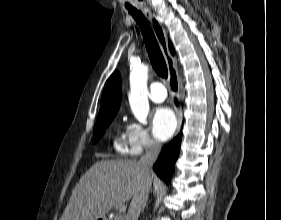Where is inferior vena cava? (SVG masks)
Instances as JSON below:
<instances>
[{
    "label": "inferior vena cava",
    "mask_w": 281,
    "mask_h": 220,
    "mask_svg": "<svg viewBox=\"0 0 281 220\" xmlns=\"http://www.w3.org/2000/svg\"><path fill=\"white\" fill-rule=\"evenodd\" d=\"M161 144L158 141H152L148 146L146 153L140 158L138 164L143 172V179L133 194L130 206L127 212L126 220H138L140 211L147 200L148 192L152 183V165L156 161Z\"/></svg>",
    "instance_id": "1"
}]
</instances>
